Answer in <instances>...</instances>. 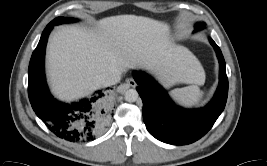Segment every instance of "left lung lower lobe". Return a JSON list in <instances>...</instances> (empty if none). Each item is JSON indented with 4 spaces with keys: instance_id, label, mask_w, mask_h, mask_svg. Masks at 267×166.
Wrapping results in <instances>:
<instances>
[{
    "instance_id": "obj_1",
    "label": "left lung lower lobe",
    "mask_w": 267,
    "mask_h": 166,
    "mask_svg": "<svg viewBox=\"0 0 267 166\" xmlns=\"http://www.w3.org/2000/svg\"><path fill=\"white\" fill-rule=\"evenodd\" d=\"M219 64L220 80L211 102L201 109H184L169 98L167 92L149 75L135 72L137 91L143 101V120L148 131L158 140L186 145L205 135L222 113L228 95L226 65L220 48L209 38Z\"/></svg>"
}]
</instances>
